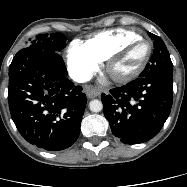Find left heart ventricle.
Returning <instances> with one entry per match:
<instances>
[{"mask_svg":"<svg viewBox=\"0 0 187 187\" xmlns=\"http://www.w3.org/2000/svg\"><path fill=\"white\" fill-rule=\"evenodd\" d=\"M147 51L148 46L146 43H135L111 65V74L122 76L134 71L143 62Z\"/></svg>","mask_w":187,"mask_h":187,"instance_id":"b2bd125f","label":"left heart ventricle"}]
</instances>
